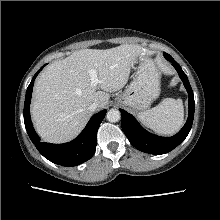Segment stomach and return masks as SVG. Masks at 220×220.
Listing matches in <instances>:
<instances>
[{"label":"stomach","instance_id":"0dacf381","mask_svg":"<svg viewBox=\"0 0 220 220\" xmlns=\"http://www.w3.org/2000/svg\"><path fill=\"white\" fill-rule=\"evenodd\" d=\"M160 78L159 68L152 59L141 60L133 81L116 97V103L135 112L146 110L160 94Z\"/></svg>","mask_w":220,"mask_h":220}]
</instances>
